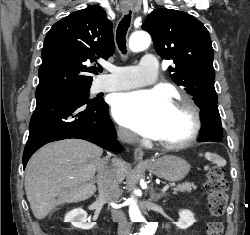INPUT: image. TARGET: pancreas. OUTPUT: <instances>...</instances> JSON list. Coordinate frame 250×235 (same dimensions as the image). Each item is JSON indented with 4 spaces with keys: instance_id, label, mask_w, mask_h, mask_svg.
Returning <instances> with one entry per match:
<instances>
[{
    "instance_id": "1",
    "label": "pancreas",
    "mask_w": 250,
    "mask_h": 235,
    "mask_svg": "<svg viewBox=\"0 0 250 235\" xmlns=\"http://www.w3.org/2000/svg\"><path fill=\"white\" fill-rule=\"evenodd\" d=\"M173 186V194H177V192H191L193 189L196 190L197 186L193 183H183Z\"/></svg>"
}]
</instances>
